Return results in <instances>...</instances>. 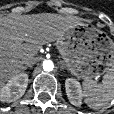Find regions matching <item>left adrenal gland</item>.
<instances>
[{
	"label": "left adrenal gland",
	"instance_id": "a2214340",
	"mask_svg": "<svg viewBox=\"0 0 114 114\" xmlns=\"http://www.w3.org/2000/svg\"><path fill=\"white\" fill-rule=\"evenodd\" d=\"M60 64H61L60 69H61V70H64V69H65V66H64L63 61H61Z\"/></svg>",
	"mask_w": 114,
	"mask_h": 114
}]
</instances>
